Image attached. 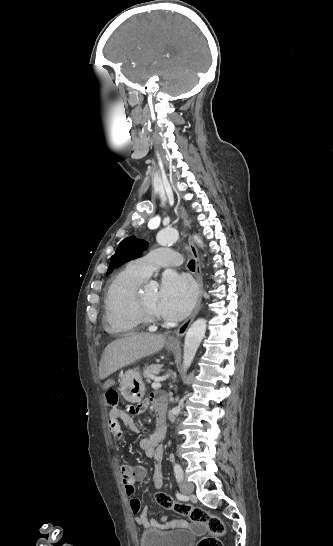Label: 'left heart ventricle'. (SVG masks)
Masks as SVG:
<instances>
[{
    "label": "left heart ventricle",
    "mask_w": 333,
    "mask_h": 546,
    "mask_svg": "<svg viewBox=\"0 0 333 546\" xmlns=\"http://www.w3.org/2000/svg\"><path fill=\"white\" fill-rule=\"evenodd\" d=\"M143 303L145 306L151 310L154 314L159 315L157 311V302H158V291L155 289L144 290L141 293Z\"/></svg>",
    "instance_id": "1"
}]
</instances>
